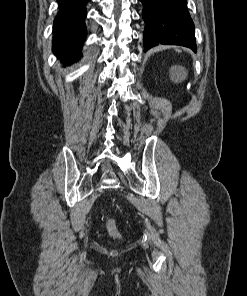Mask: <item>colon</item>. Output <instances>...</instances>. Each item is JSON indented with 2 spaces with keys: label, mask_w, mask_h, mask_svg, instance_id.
I'll return each instance as SVG.
<instances>
[{
  "label": "colon",
  "mask_w": 247,
  "mask_h": 296,
  "mask_svg": "<svg viewBox=\"0 0 247 296\" xmlns=\"http://www.w3.org/2000/svg\"><path fill=\"white\" fill-rule=\"evenodd\" d=\"M107 230L112 234V235H117L118 234V230L117 227L115 225V222L110 220L107 223Z\"/></svg>",
  "instance_id": "obj_1"
}]
</instances>
